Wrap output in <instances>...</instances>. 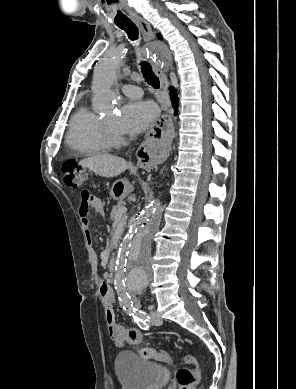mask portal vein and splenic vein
I'll use <instances>...</instances> for the list:
<instances>
[{"instance_id": "1", "label": "portal vein and splenic vein", "mask_w": 296, "mask_h": 389, "mask_svg": "<svg viewBox=\"0 0 296 389\" xmlns=\"http://www.w3.org/2000/svg\"><path fill=\"white\" fill-rule=\"evenodd\" d=\"M126 212H127V208H126V207L120 208V209L116 212L115 219H116V220L121 219L122 216H123Z\"/></svg>"}]
</instances>
